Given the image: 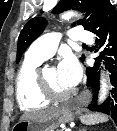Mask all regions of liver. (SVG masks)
I'll use <instances>...</instances> for the list:
<instances>
[{
    "label": "liver",
    "mask_w": 117,
    "mask_h": 131,
    "mask_svg": "<svg viewBox=\"0 0 117 131\" xmlns=\"http://www.w3.org/2000/svg\"><path fill=\"white\" fill-rule=\"evenodd\" d=\"M57 109L58 108H50V109L25 113L21 116L20 120L43 118L54 113L55 111H57Z\"/></svg>",
    "instance_id": "6515ba94"
}]
</instances>
